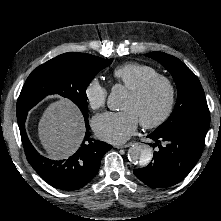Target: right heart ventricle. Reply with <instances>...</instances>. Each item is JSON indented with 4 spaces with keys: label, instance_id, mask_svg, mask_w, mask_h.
<instances>
[{
    "label": "right heart ventricle",
    "instance_id": "1",
    "mask_svg": "<svg viewBox=\"0 0 221 221\" xmlns=\"http://www.w3.org/2000/svg\"><path fill=\"white\" fill-rule=\"evenodd\" d=\"M158 74L150 65L129 62L117 66L112 73L113 78L123 84L127 89H132L145 79Z\"/></svg>",
    "mask_w": 221,
    "mask_h": 221
}]
</instances>
